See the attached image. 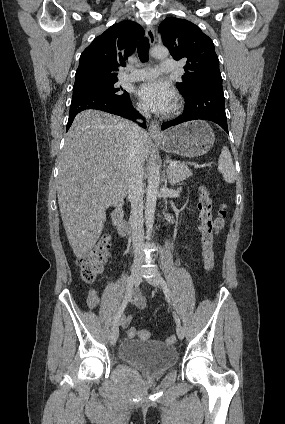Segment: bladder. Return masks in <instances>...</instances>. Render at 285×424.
I'll return each instance as SVG.
<instances>
[{"instance_id": "1", "label": "bladder", "mask_w": 285, "mask_h": 424, "mask_svg": "<svg viewBox=\"0 0 285 424\" xmlns=\"http://www.w3.org/2000/svg\"><path fill=\"white\" fill-rule=\"evenodd\" d=\"M118 355L121 361L150 374L169 370L178 359L175 348L158 340H123L119 345Z\"/></svg>"}]
</instances>
